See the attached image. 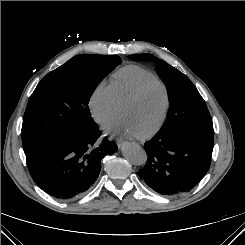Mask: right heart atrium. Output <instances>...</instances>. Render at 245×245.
<instances>
[{"label": "right heart atrium", "mask_w": 245, "mask_h": 245, "mask_svg": "<svg viewBox=\"0 0 245 245\" xmlns=\"http://www.w3.org/2000/svg\"><path fill=\"white\" fill-rule=\"evenodd\" d=\"M88 106L98 124L108 125L115 118L118 109L111 85L105 81L99 82L90 95Z\"/></svg>", "instance_id": "d8ad5b80"}]
</instances>
